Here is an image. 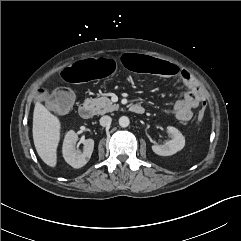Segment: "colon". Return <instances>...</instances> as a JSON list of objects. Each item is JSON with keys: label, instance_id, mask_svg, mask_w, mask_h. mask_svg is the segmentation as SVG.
<instances>
[{"label": "colon", "instance_id": "obj_1", "mask_svg": "<svg viewBox=\"0 0 241 241\" xmlns=\"http://www.w3.org/2000/svg\"><path fill=\"white\" fill-rule=\"evenodd\" d=\"M121 65L133 72H144L156 77H175L179 73L178 67L167 59L152 55L125 53L121 57ZM118 71V61L111 54H100L94 58L79 60L72 65H65L60 70V79L72 86H81L88 81H101L114 76ZM70 90L62 88L48 96L47 103L55 110L64 111L73 102ZM205 116V107L198 113V120Z\"/></svg>", "mask_w": 241, "mask_h": 241}]
</instances>
